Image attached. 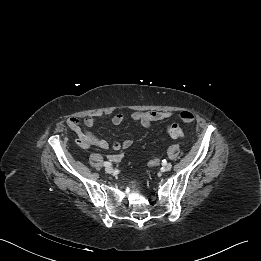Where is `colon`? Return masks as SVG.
I'll list each match as a JSON object with an SVG mask.
<instances>
[{"instance_id": "5ec220e1", "label": "colon", "mask_w": 261, "mask_h": 261, "mask_svg": "<svg viewBox=\"0 0 261 261\" xmlns=\"http://www.w3.org/2000/svg\"><path fill=\"white\" fill-rule=\"evenodd\" d=\"M168 135L174 139H182L186 135V131L176 123H168L166 125Z\"/></svg>"}]
</instances>
